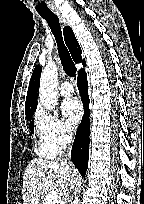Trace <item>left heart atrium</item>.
<instances>
[{"label": "left heart atrium", "mask_w": 144, "mask_h": 204, "mask_svg": "<svg viewBox=\"0 0 144 204\" xmlns=\"http://www.w3.org/2000/svg\"><path fill=\"white\" fill-rule=\"evenodd\" d=\"M62 114L70 127H76L82 116V106L77 99H67L61 106Z\"/></svg>", "instance_id": "left-heart-atrium-1"}]
</instances>
